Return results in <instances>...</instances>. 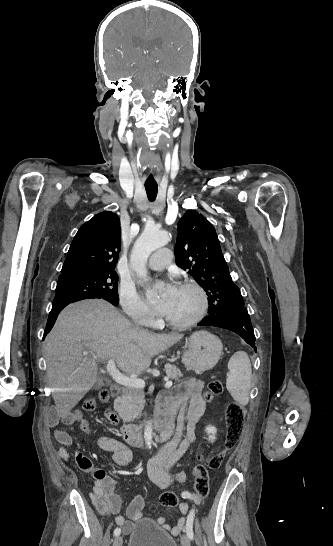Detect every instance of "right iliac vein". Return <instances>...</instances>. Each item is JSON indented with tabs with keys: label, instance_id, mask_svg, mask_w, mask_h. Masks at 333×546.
Listing matches in <instances>:
<instances>
[{
	"label": "right iliac vein",
	"instance_id": "1",
	"mask_svg": "<svg viewBox=\"0 0 333 546\" xmlns=\"http://www.w3.org/2000/svg\"><path fill=\"white\" fill-rule=\"evenodd\" d=\"M123 544V539L121 536H116L115 539L113 540V546H122Z\"/></svg>",
	"mask_w": 333,
	"mask_h": 546
}]
</instances>
